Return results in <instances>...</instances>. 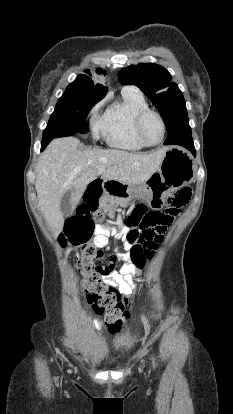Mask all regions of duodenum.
Segmentation results:
<instances>
[{"label": "duodenum", "instance_id": "410a0bca", "mask_svg": "<svg viewBox=\"0 0 233 414\" xmlns=\"http://www.w3.org/2000/svg\"><path fill=\"white\" fill-rule=\"evenodd\" d=\"M120 184L113 180L97 179L92 181L87 190V195L84 197L83 206L87 212H94L98 204L99 198L103 193L114 195V189Z\"/></svg>", "mask_w": 233, "mask_h": 414}]
</instances>
